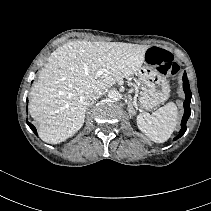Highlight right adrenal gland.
<instances>
[{"label": "right adrenal gland", "mask_w": 211, "mask_h": 211, "mask_svg": "<svg viewBox=\"0 0 211 211\" xmlns=\"http://www.w3.org/2000/svg\"><path fill=\"white\" fill-rule=\"evenodd\" d=\"M95 102H96V101L93 100V101L89 104V106H92Z\"/></svg>", "instance_id": "1"}]
</instances>
